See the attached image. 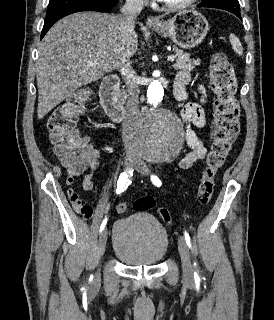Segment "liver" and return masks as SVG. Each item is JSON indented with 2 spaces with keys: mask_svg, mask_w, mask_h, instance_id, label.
<instances>
[{
  "mask_svg": "<svg viewBox=\"0 0 274 320\" xmlns=\"http://www.w3.org/2000/svg\"><path fill=\"white\" fill-rule=\"evenodd\" d=\"M119 18L115 14L77 12L50 28L38 48L39 120L78 88L118 70L123 54L134 56L138 38H131L128 44L118 38ZM88 62H96V66Z\"/></svg>",
  "mask_w": 274,
  "mask_h": 320,
  "instance_id": "1",
  "label": "liver"
}]
</instances>
